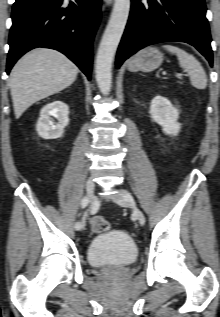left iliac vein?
Listing matches in <instances>:
<instances>
[{
    "label": "left iliac vein",
    "mask_w": 220,
    "mask_h": 317,
    "mask_svg": "<svg viewBox=\"0 0 220 317\" xmlns=\"http://www.w3.org/2000/svg\"><path fill=\"white\" fill-rule=\"evenodd\" d=\"M115 202L122 206V207H131L134 209V214L140 223V225L144 226L145 225V216L142 213L141 210L136 208L133 203V198L130 196H127L125 192H119L118 196L114 197Z\"/></svg>",
    "instance_id": "left-iliac-vein-1"
}]
</instances>
